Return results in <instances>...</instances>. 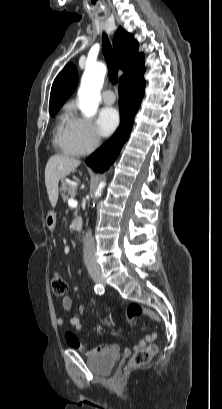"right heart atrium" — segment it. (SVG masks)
Masks as SVG:
<instances>
[{"instance_id": "right-heart-atrium-1", "label": "right heart atrium", "mask_w": 222, "mask_h": 409, "mask_svg": "<svg viewBox=\"0 0 222 409\" xmlns=\"http://www.w3.org/2000/svg\"><path fill=\"white\" fill-rule=\"evenodd\" d=\"M70 132L81 154L91 153L100 146L98 132L93 123L86 118L73 115L70 121Z\"/></svg>"}]
</instances>
